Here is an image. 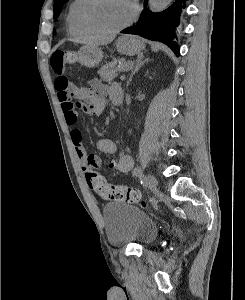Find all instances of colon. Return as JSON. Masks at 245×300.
Returning a JSON list of instances; mask_svg holds the SVG:
<instances>
[{
	"mask_svg": "<svg viewBox=\"0 0 245 300\" xmlns=\"http://www.w3.org/2000/svg\"><path fill=\"white\" fill-rule=\"evenodd\" d=\"M74 58L72 52H54L51 57V66L54 72L62 75L68 64L74 61ZM86 179L89 187L104 199L127 203L141 202L144 206H147V202L142 199L141 192L137 188L110 184L99 173H90Z\"/></svg>",
	"mask_w": 245,
	"mask_h": 300,
	"instance_id": "1",
	"label": "colon"
}]
</instances>
